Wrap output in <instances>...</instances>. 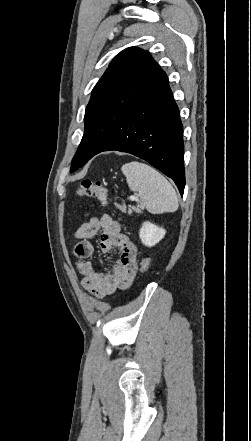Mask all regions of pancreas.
I'll list each match as a JSON object with an SVG mask.
<instances>
[{"label":"pancreas","mask_w":251,"mask_h":441,"mask_svg":"<svg viewBox=\"0 0 251 441\" xmlns=\"http://www.w3.org/2000/svg\"><path fill=\"white\" fill-rule=\"evenodd\" d=\"M122 212H126V205L125 203H123L122 205L117 204L116 205ZM132 209L134 210L135 213H142V208L140 205L137 206H133Z\"/></svg>","instance_id":"obj_1"}]
</instances>
